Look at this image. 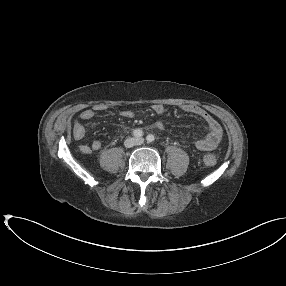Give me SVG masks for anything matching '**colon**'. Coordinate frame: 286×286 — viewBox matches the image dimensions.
<instances>
[{
  "label": "colon",
  "instance_id": "obj_1",
  "mask_svg": "<svg viewBox=\"0 0 286 286\" xmlns=\"http://www.w3.org/2000/svg\"><path fill=\"white\" fill-rule=\"evenodd\" d=\"M203 163L206 166H214L216 164V157L212 154H206L203 157Z\"/></svg>",
  "mask_w": 286,
  "mask_h": 286
}]
</instances>
